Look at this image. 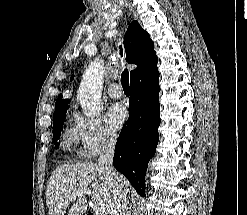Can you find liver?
Masks as SVG:
<instances>
[{
    "mask_svg": "<svg viewBox=\"0 0 247 215\" xmlns=\"http://www.w3.org/2000/svg\"><path fill=\"white\" fill-rule=\"evenodd\" d=\"M118 178L124 188L125 179L123 176H118ZM85 189L92 192L91 199L96 204L105 203L112 211L114 189L106 179L104 169L92 162L67 163L58 166L50 176L46 190L49 215H64L70 202L76 200H70L68 196ZM77 198L67 215H83L86 212L88 205L84 194Z\"/></svg>",
    "mask_w": 247,
    "mask_h": 215,
    "instance_id": "6515ba94",
    "label": "liver"
}]
</instances>
